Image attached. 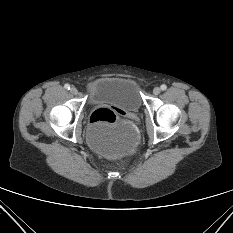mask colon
I'll use <instances>...</instances> for the list:
<instances>
[{"label":"colon","instance_id":"1","mask_svg":"<svg viewBox=\"0 0 233 233\" xmlns=\"http://www.w3.org/2000/svg\"><path fill=\"white\" fill-rule=\"evenodd\" d=\"M116 121V114L109 108H99L95 110L91 117L90 123L94 125H109Z\"/></svg>","mask_w":233,"mask_h":233}]
</instances>
